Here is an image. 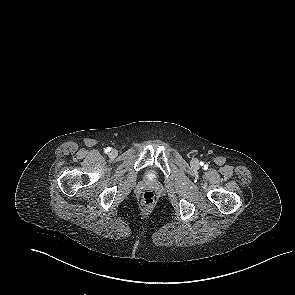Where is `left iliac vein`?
<instances>
[{"label": "left iliac vein", "instance_id": "4c4485c4", "mask_svg": "<svg viewBox=\"0 0 295 295\" xmlns=\"http://www.w3.org/2000/svg\"><path fill=\"white\" fill-rule=\"evenodd\" d=\"M191 166L193 168H198L199 167V161L197 159H192L191 160Z\"/></svg>", "mask_w": 295, "mask_h": 295}]
</instances>
